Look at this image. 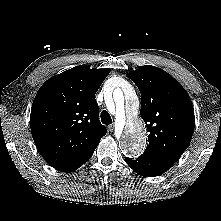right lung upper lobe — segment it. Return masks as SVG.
Wrapping results in <instances>:
<instances>
[{"label": "right lung upper lobe", "mask_w": 221, "mask_h": 221, "mask_svg": "<svg viewBox=\"0 0 221 221\" xmlns=\"http://www.w3.org/2000/svg\"><path fill=\"white\" fill-rule=\"evenodd\" d=\"M109 73L110 69L80 65L50 78L36 94L31 133L39 152L54 168L97 147L106 135L94 96Z\"/></svg>", "instance_id": "obj_1"}]
</instances>
